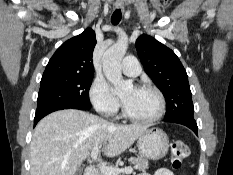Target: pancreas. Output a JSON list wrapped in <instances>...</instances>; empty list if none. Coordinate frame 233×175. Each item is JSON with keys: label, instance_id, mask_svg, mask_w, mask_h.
Listing matches in <instances>:
<instances>
[{"label": "pancreas", "instance_id": "obj_1", "mask_svg": "<svg viewBox=\"0 0 233 175\" xmlns=\"http://www.w3.org/2000/svg\"><path fill=\"white\" fill-rule=\"evenodd\" d=\"M129 162H131L132 164H134V168L137 170H145L148 169V160L143 158V157H130L128 159ZM116 168V167H113ZM100 175H103V173H101Z\"/></svg>", "mask_w": 233, "mask_h": 175}]
</instances>
